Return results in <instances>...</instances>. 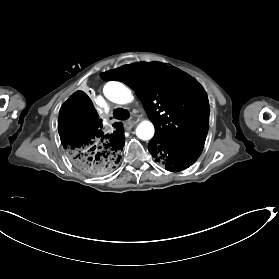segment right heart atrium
I'll return each instance as SVG.
<instances>
[{
	"mask_svg": "<svg viewBox=\"0 0 279 279\" xmlns=\"http://www.w3.org/2000/svg\"><path fill=\"white\" fill-rule=\"evenodd\" d=\"M134 57L137 58V59H139V56H137V55L134 56ZM146 131H147V128H144V129H143V132L145 133Z\"/></svg>",
	"mask_w": 279,
	"mask_h": 279,
	"instance_id": "right-heart-atrium-1",
	"label": "right heart atrium"
}]
</instances>
